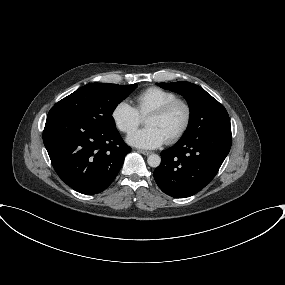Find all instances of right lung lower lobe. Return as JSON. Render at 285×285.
I'll list each match as a JSON object with an SVG mask.
<instances>
[{"label": "right lung lower lobe", "mask_w": 285, "mask_h": 285, "mask_svg": "<svg viewBox=\"0 0 285 285\" xmlns=\"http://www.w3.org/2000/svg\"><path fill=\"white\" fill-rule=\"evenodd\" d=\"M43 142L58 176L87 195L105 190L131 151L117 129H97L62 111H49Z\"/></svg>", "instance_id": "obj_1"}]
</instances>
